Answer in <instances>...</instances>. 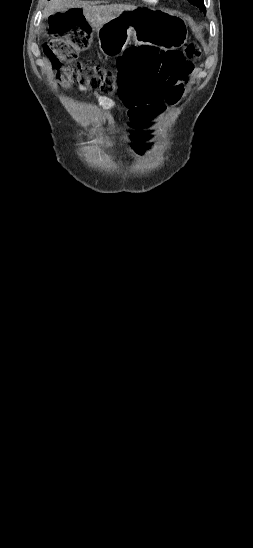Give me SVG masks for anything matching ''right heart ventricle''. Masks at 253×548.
<instances>
[{
	"mask_svg": "<svg viewBox=\"0 0 253 548\" xmlns=\"http://www.w3.org/2000/svg\"><path fill=\"white\" fill-rule=\"evenodd\" d=\"M145 2H148V3H156L158 0H143Z\"/></svg>",
	"mask_w": 253,
	"mask_h": 548,
	"instance_id": "e07e8e85",
	"label": "right heart ventricle"
}]
</instances>
